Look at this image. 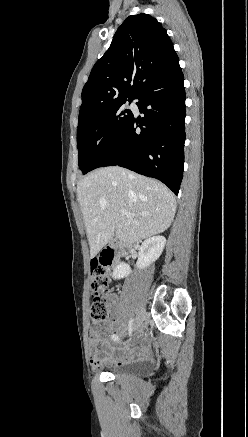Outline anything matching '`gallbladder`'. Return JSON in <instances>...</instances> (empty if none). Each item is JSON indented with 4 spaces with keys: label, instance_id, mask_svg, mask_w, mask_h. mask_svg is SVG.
Here are the masks:
<instances>
[{
    "label": "gallbladder",
    "instance_id": "obj_1",
    "mask_svg": "<svg viewBox=\"0 0 248 437\" xmlns=\"http://www.w3.org/2000/svg\"><path fill=\"white\" fill-rule=\"evenodd\" d=\"M116 241V237L114 236L112 239H111V243H114Z\"/></svg>",
    "mask_w": 248,
    "mask_h": 437
}]
</instances>
